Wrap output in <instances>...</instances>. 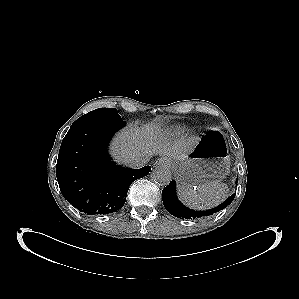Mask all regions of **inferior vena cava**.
Listing matches in <instances>:
<instances>
[{"instance_id":"obj_1","label":"inferior vena cava","mask_w":299,"mask_h":299,"mask_svg":"<svg viewBox=\"0 0 299 299\" xmlns=\"http://www.w3.org/2000/svg\"><path fill=\"white\" fill-rule=\"evenodd\" d=\"M149 156L135 157L126 161L128 167L141 168L147 164Z\"/></svg>"}]
</instances>
